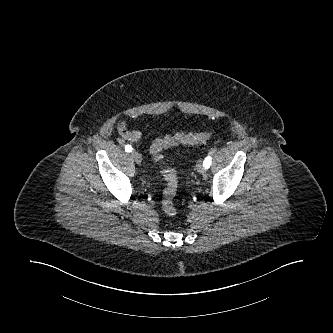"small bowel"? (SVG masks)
Returning a JSON list of instances; mask_svg holds the SVG:
<instances>
[{
    "mask_svg": "<svg viewBox=\"0 0 333 333\" xmlns=\"http://www.w3.org/2000/svg\"><path fill=\"white\" fill-rule=\"evenodd\" d=\"M117 128H118V132H119V135L121 136V138L126 141L135 142L141 136V133L139 131L130 130L127 122H125V121H120L118 123Z\"/></svg>",
    "mask_w": 333,
    "mask_h": 333,
    "instance_id": "obj_1",
    "label": "small bowel"
}]
</instances>
